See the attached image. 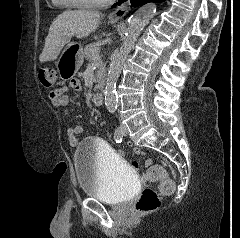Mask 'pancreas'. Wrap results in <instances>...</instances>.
I'll return each mask as SVG.
<instances>
[{"mask_svg": "<svg viewBox=\"0 0 240 238\" xmlns=\"http://www.w3.org/2000/svg\"><path fill=\"white\" fill-rule=\"evenodd\" d=\"M100 49L98 47V45L96 43H91L88 44L85 49H84V56L87 60L91 61V65L95 66L96 68H98V70L96 71V82L97 85L94 87V90L99 89L100 85H101V79L105 76V65L100 61H94L93 59V53L97 52L99 53Z\"/></svg>", "mask_w": 240, "mask_h": 238, "instance_id": "cf45deb5", "label": "pancreas"}]
</instances>
